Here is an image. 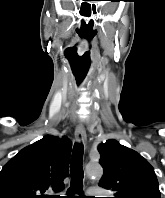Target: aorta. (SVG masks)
<instances>
[{
    "instance_id": "1",
    "label": "aorta",
    "mask_w": 165,
    "mask_h": 198,
    "mask_svg": "<svg viewBox=\"0 0 165 198\" xmlns=\"http://www.w3.org/2000/svg\"><path fill=\"white\" fill-rule=\"evenodd\" d=\"M86 172L88 176L92 178H101L103 175V169L99 164H88L86 166Z\"/></svg>"
}]
</instances>
